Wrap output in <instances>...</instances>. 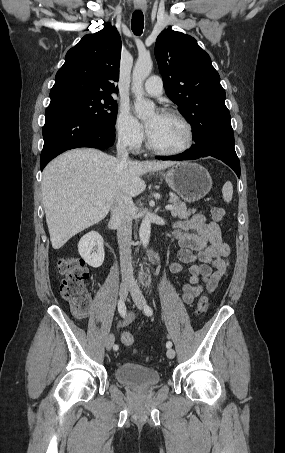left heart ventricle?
Masks as SVG:
<instances>
[{
  "instance_id": "obj_1",
  "label": "left heart ventricle",
  "mask_w": 285,
  "mask_h": 453,
  "mask_svg": "<svg viewBox=\"0 0 285 453\" xmlns=\"http://www.w3.org/2000/svg\"><path fill=\"white\" fill-rule=\"evenodd\" d=\"M146 125L151 140L160 148L174 150L186 144V128L173 117L151 114L146 119Z\"/></svg>"
}]
</instances>
